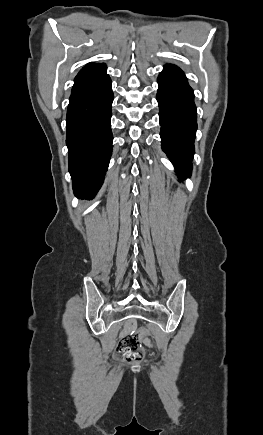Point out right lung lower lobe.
I'll list each match as a JSON object with an SVG mask.
<instances>
[{
	"instance_id": "right-lung-lower-lobe-1",
	"label": "right lung lower lobe",
	"mask_w": 263,
	"mask_h": 435,
	"mask_svg": "<svg viewBox=\"0 0 263 435\" xmlns=\"http://www.w3.org/2000/svg\"><path fill=\"white\" fill-rule=\"evenodd\" d=\"M104 64H88L74 79L66 118V144L73 189L93 198L112 154L113 92Z\"/></svg>"
}]
</instances>
